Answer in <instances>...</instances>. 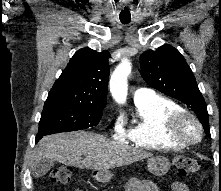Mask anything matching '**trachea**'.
<instances>
[{"mask_svg": "<svg viewBox=\"0 0 221 191\" xmlns=\"http://www.w3.org/2000/svg\"><path fill=\"white\" fill-rule=\"evenodd\" d=\"M121 22L123 23V24H128L130 21H128V20H121Z\"/></svg>", "mask_w": 221, "mask_h": 191, "instance_id": "trachea-1", "label": "trachea"}]
</instances>
